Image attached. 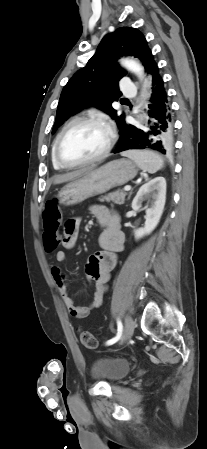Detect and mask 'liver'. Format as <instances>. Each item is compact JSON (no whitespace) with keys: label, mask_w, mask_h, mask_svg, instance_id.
I'll use <instances>...</instances> for the list:
<instances>
[{"label":"liver","mask_w":207,"mask_h":449,"mask_svg":"<svg viewBox=\"0 0 207 449\" xmlns=\"http://www.w3.org/2000/svg\"><path fill=\"white\" fill-rule=\"evenodd\" d=\"M91 170H93L92 167L85 168V169H80V170L73 171V172H70V173H66V174H63V175H57L54 178L53 183L54 184H61V183H64V182L73 181V180H75V179L85 175L86 173L90 172Z\"/></svg>","instance_id":"6515ba94"}]
</instances>
